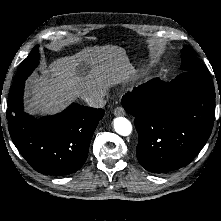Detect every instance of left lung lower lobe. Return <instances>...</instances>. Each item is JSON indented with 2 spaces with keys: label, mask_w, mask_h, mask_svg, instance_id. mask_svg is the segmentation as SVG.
Segmentation results:
<instances>
[{
  "label": "left lung lower lobe",
  "mask_w": 221,
  "mask_h": 221,
  "mask_svg": "<svg viewBox=\"0 0 221 221\" xmlns=\"http://www.w3.org/2000/svg\"><path fill=\"white\" fill-rule=\"evenodd\" d=\"M214 102L209 77L191 71L171 82L153 79L124 95L122 105L135 117L140 164L153 173L188 165L211 134Z\"/></svg>",
  "instance_id": "1"
}]
</instances>
